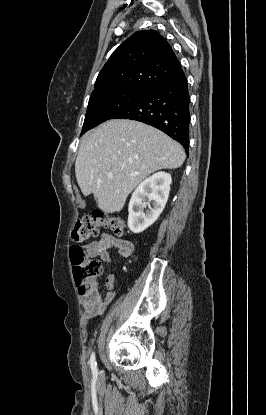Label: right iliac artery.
I'll use <instances>...</instances> for the list:
<instances>
[{
	"mask_svg": "<svg viewBox=\"0 0 266 415\" xmlns=\"http://www.w3.org/2000/svg\"><path fill=\"white\" fill-rule=\"evenodd\" d=\"M90 367H91L93 375L97 376L98 370H97V363H96V360H95V353L94 352L91 354V357H90Z\"/></svg>",
	"mask_w": 266,
	"mask_h": 415,
	"instance_id": "1",
	"label": "right iliac artery"
}]
</instances>
